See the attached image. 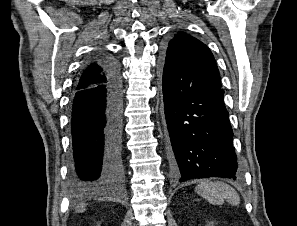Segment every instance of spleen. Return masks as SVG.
<instances>
[{"label": "spleen", "mask_w": 297, "mask_h": 226, "mask_svg": "<svg viewBox=\"0 0 297 226\" xmlns=\"http://www.w3.org/2000/svg\"><path fill=\"white\" fill-rule=\"evenodd\" d=\"M195 191L213 205H221L224 201L231 205L240 204L237 191L223 182L204 180L196 186Z\"/></svg>", "instance_id": "spleen-1"}]
</instances>
